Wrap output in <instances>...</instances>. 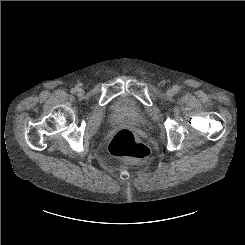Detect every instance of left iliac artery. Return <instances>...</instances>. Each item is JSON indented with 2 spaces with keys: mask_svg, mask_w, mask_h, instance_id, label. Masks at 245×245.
<instances>
[{
  "mask_svg": "<svg viewBox=\"0 0 245 245\" xmlns=\"http://www.w3.org/2000/svg\"><path fill=\"white\" fill-rule=\"evenodd\" d=\"M172 90H173L174 93H178L179 92V87L176 85V86L173 87Z\"/></svg>",
  "mask_w": 245,
  "mask_h": 245,
  "instance_id": "left-iliac-artery-1",
  "label": "left iliac artery"
}]
</instances>
